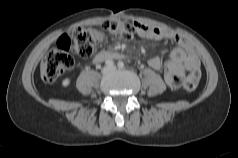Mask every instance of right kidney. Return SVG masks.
I'll return each mask as SVG.
<instances>
[{
    "label": "right kidney",
    "mask_w": 238,
    "mask_h": 158,
    "mask_svg": "<svg viewBox=\"0 0 238 158\" xmlns=\"http://www.w3.org/2000/svg\"><path fill=\"white\" fill-rule=\"evenodd\" d=\"M70 78H65L63 81H62V86L63 87H68L70 85Z\"/></svg>",
    "instance_id": "obj_1"
}]
</instances>
